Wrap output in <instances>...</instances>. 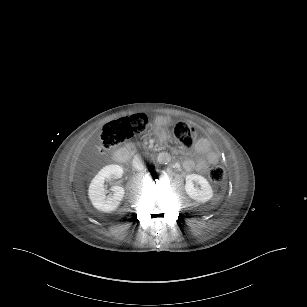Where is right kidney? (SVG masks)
<instances>
[{
  "label": "right kidney",
  "instance_id": "ca27d5eb",
  "mask_svg": "<svg viewBox=\"0 0 307 307\" xmlns=\"http://www.w3.org/2000/svg\"><path fill=\"white\" fill-rule=\"evenodd\" d=\"M123 167L116 164H110L103 167L90 183L88 195L92 205L103 212L114 211L124 197L125 190L121 186H113L111 190L113 195H108L104 188L105 179L121 178L123 176Z\"/></svg>",
  "mask_w": 307,
  "mask_h": 307
}]
</instances>
